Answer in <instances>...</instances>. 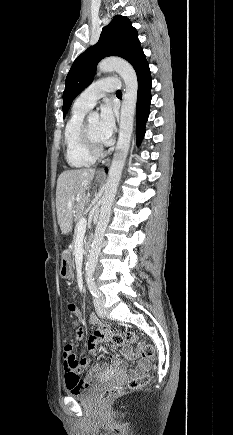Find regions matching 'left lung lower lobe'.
<instances>
[{"mask_svg":"<svg viewBox=\"0 0 233 435\" xmlns=\"http://www.w3.org/2000/svg\"><path fill=\"white\" fill-rule=\"evenodd\" d=\"M137 80L136 134L139 145L145 134V123L148 120L151 104L152 79L148 64L137 73Z\"/></svg>","mask_w":233,"mask_h":435,"instance_id":"1","label":"left lung lower lobe"}]
</instances>
